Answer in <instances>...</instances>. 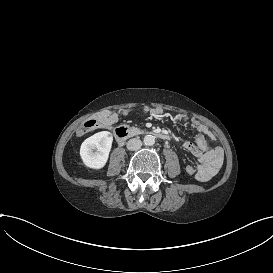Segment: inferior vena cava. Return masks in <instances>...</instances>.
Wrapping results in <instances>:
<instances>
[{
    "label": "inferior vena cava",
    "mask_w": 273,
    "mask_h": 273,
    "mask_svg": "<svg viewBox=\"0 0 273 273\" xmlns=\"http://www.w3.org/2000/svg\"><path fill=\"white\" fill-rule=\"evenodd\" d=\"M142 146V141L137 138H132L127 142V148L129 150H138Z\"/></svg>",
    "instance_id": "1"
}]
</instances>
